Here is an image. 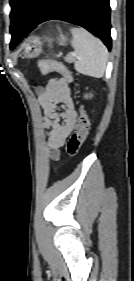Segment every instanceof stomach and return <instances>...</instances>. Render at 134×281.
I'll return each mask as SVG.
<instances>
[{
	"label": "stomach",
	"mask_w": 134,
	"mask_h": 281,
	"mask_svg": "<svg viewBox=\"0 0 134 281\" xmlns=\"http://www.w3.org/2000/svg\"><path fill=\"white\" fill-rule=\"evenodd\" d=\"M42 52V42L38 37H32L26 43L23 55L26 58H35Z\"/></svg>",
	"instance_id": "obj_1"
}]
</instances>
